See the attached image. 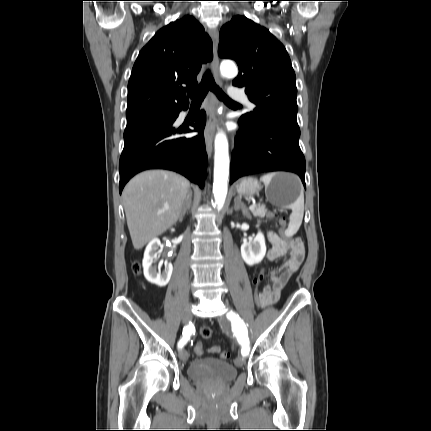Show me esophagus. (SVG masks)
<instances>
[{
    "label": "esophagus",
    "instance_id": "esophagus-1",
    "mask_svg": "<svg viewBox=\"0 0 431 431\" xmlns=\"http://www.w3.org/2000/svg\"><path fill=\"white\" fill-rule=\"evenodd\" d=\"M210 35L213 42V59L211 62L212 71L215 78L218 80L219 58H218V43L219 37L217 30H211ZM208 119L204 131V139L208 156L211 157L213 151V138L215 131V98L210 97L207 105Z\"/></svg>",
    "mask_w": 431,
    "mask_h": 431
}]
</instances>
